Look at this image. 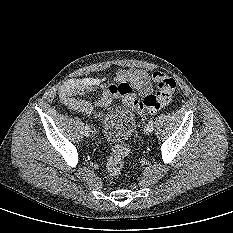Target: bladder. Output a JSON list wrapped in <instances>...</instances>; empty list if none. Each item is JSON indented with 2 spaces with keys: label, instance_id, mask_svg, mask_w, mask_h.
I'll list each match as a JSON object with an SVG mask.
<instances>
[{
  "label": "bladder",
  "instance_id": "1",
  "mask_svg": "<svg viewBox=\"0 0 233 233\" xmlns=\"http://www.w3.org/2000/svg\"><path fill=\"white\" fill-rule=\"evenodd\" d=\"M136 117L132 111L122 106L108 108L103 119V133L109 142L123 143L133 134Z\"/></svg>",
  "mask_w": 233,
  "mask_h": 233
}]
</instances>
